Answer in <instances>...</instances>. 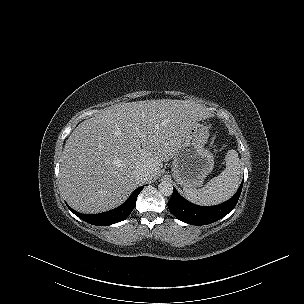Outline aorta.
Instances as JSON below:
<instances>
[{
    "mask_svg": "<svg viewBox=\"0 0 304 304\" xmlns=\"http://www.w3.org/2000/svg\"><path fill=\"white\" fill-rule=\"evenodd\" d=\"M159 192L164 196H171L173 193V184L169 181H162L158 185Z\"/></svg>",
    "mask_w": 304,
    "mask_h": 304,
    "instance_id": "1",
    "label": "aorta"
}]
</instances>
